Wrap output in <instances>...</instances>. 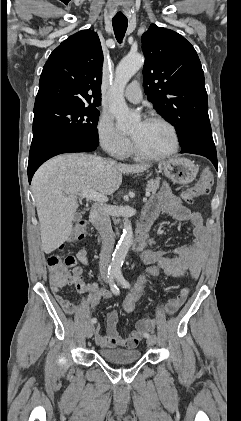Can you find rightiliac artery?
I'll use <instances>...</instances> for the list:
<instances>
[{"label":"right iliac artery","instance_id":"right-iliac-artery-1","mask_svg":"<svg viewBox=\"0 0 241 421\" xmlns=\"http://www.w3.org/2000/svg\"><path fill=\"white\" fill-rule=\"evenodd\" d=\"M114 276H115V271L112 269L108 272V279H109V285H110V289L111 292L114 295H119V288L117 287V285L114 283ZM97 319L96 318H92L91 319V323H96Z\"/></svg>","mask_w":241,"mask_h":421}]
</instances>
